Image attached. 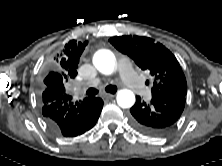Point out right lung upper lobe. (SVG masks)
Masks as SVG:
<instances>
[{
    "label": "right lung upper lobe",
    "instance_id": "cb5924a9",
    "mask_svg": "<svg viewBox=\"0 0 222 166\" xmlns=\"http://www.w3.org/2000/svg\"><path fill=\"white\" fill-rule=\"evenodd\" d=\"M87 44V41L70 40L56 51L51 61L52 67L44 79L45 88H55L65 93L67 81L77 75L79 59Z\"/></svg>",
    "mask_w": 222,
    "mask_h": 166
}]
</instances>
